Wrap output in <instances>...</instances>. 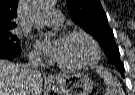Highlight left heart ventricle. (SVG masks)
I'll return each mask as SVG.
<instances>
[{"mask_svg": "<svg viewBox=\"0 0 135 95\" xmlns=\"http://www.w3.org/2000/svg\"><path fill=\"white\" fill-rule=\"evenodd\" d=\"M47 28L56 29L52 25H48ZM93 56L94 50L90 42L85 37L74 36L63 38L62 51L58 61L68 65H76L89 61Z\"/></svg>", "mask_w": 135, "mask_h": 95, "instance_id": "obj_1", "label": "left heart ventricle"}]
</instances>
